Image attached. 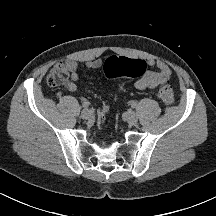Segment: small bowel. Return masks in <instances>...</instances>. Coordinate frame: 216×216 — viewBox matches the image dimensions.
Listing matches in <instances>:
<instances>
[{
    "label": "small bowel",
    "instance_id": "1",
    "mask_svg": "<svg viewBox=\"0 0 216 216\" xmlns=\"http://www.w3.org/2000/svg\"><path fill=\"white\" fill-rule=\"evenodd\" d=\"M145 65L155 67L156 70H148L144 72L134 83V86L138 90L156 89L158 86L166 84L172 77L171 68L162 60L159 59H147L143 60ZM101 59L89 60L86 63L88 70H96L102 66ZM65 68L69 74V79L65 83L67 90L71 92L77 91V80L79 78L78 63L75 60H66L64 62Z\"/></svg>",
    "mask_w": 216,
    "mask_h": 216
}]
</instances>
